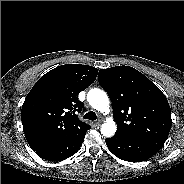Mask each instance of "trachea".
Masks as SVG:
<instances>
[{
    "mask_svg": "<svg viewBox=\"0 0 184 184\" xmlns=\"http://www.w3.org/2000/svg\"><path fill=\"white\" fill-rule=\"evenodd\" d=\"M84 119H88V120H96L97 119V115L93 112V111H89L84 115Z\"/></svg>",
    "mask_w": 184,
    "mask_h": 184,
    "instance_id": "trachea-1",
    "label": "trachea"
}]
</instances>
